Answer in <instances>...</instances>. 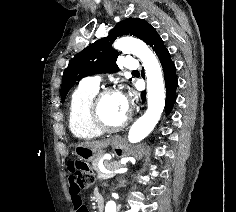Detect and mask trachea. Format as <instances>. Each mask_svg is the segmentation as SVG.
<instances>
[{
	"label": "trachea",
	"instance_id": "1",
	"mask_svg": "<svg viewBox=\"0 0 236 212\" xmlns=\"http://www.w3.org/2000/svg\"><path fill=\"white\" fill-rule=\"evenodd\" d=\"M132 73H138V70H136V71H133Z\"/></svg>",
	"mask_w": 236,
	"mask_h": 212
}]
</instances>
